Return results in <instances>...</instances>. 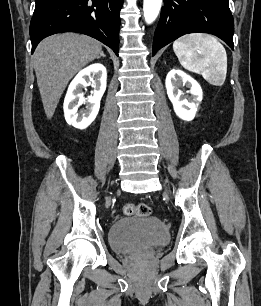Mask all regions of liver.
Wrapping results in <instances>:
<instances>
[{"label": "liver", "instance_id": "1", "mask_svg": "<svg viewBox=\"0 0 261 306\" xmlns=\"http://www.w3.org/2000/svg\"><path fill=\"white\" fill-rule=\"evenodd\" d=\"M101 53L99 41L77 33L52 35L39 43L34 69L47 118L53 116L70 79Z\"/></svg>", "mask_w": 261, "mask_h": 306}]
</instances>
